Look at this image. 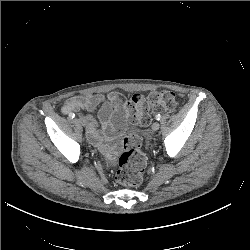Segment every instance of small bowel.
<instances>
[{
  "instance_id": "c3829d8e",
  "label": "small bowel",
  "mask_w": 250,
  "mask_h": 250,
  "mask_svg": "<svg viewBox=\"0 0 250 250\" xmlns=\"http://www.w3.org/2000/svg\"><path fill=\"white\" fill-rule=\"evenodd\" d=\"M125 109V99L117 92L107 95H78L66 100L61 108L62 113L70 114L85 110L88 115L86 119V134L92 144L107 153L106 138L113 134L115 126L111 123L114 112L117 117H122ZM98 111L97 117L93 115ZM101 126V129H99Z\"/></svg>"
}]
</instances>
